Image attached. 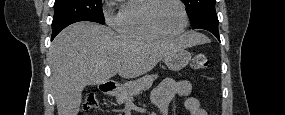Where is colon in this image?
<instances>
[{"label":"colon","mask_w":285,"mask_h":115,"mask_svg":"<svg viewBox=\"0 0 285 115\" xmlns=\"http://www.w3.org/2000/svg\"><path fill=\"white\" fill-rule=\"evenodd\" d=\"M192 68L196 70L205 69L208 67V59L205 54L198 53L196 54L191 63ZM98 108V101L94 94L90 93L86 96L85 101L83 103L84 111L96 110Z\"/></svg>","instance_id":"colon-1"}]
</instances>
